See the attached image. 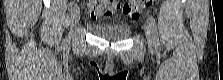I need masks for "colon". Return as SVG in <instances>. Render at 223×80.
Instances as JSON below:
<instances>
[{
    "mask_svg": "<svg viewBox=\"0 0 223 80\" xmlns=\"http://www.w3.org/2000/svg\"><path fill=\"white\" fill-rule=\"evenodd\" d=\"M94 2H104L109 5H115L116 9L122 8L126 15H128L132 20H136L139 16L140 10L152 7L156 0H133L123 5L119 1L115 0H101Z\"/></svg>",
    "mask_w": 223,
    "mask_h": 80,
    "instance_id": "obj_1",
    "label": "colon"
}]
</instances>
